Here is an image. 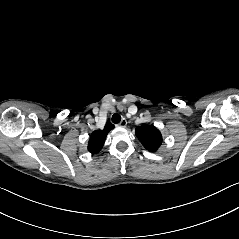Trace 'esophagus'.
Listing matches in <instances>:
<instances>
[{
    "mask_svg": "<svg viewBox=\"0 0 239 239\" xmlns=\"http://www.w3.org/2000/svg\"><path fill=\"white\" fill-rule=\"evenodd\" d=\"M127 125V120L125 118H123L120 123L118 124V126L120 127H125Z\"/></svg>",
    "mask_w": 239,
    "mask_h": 239,
    "instance_id": "obj_1",
    "label": "esophagus"
}]
</instances>
